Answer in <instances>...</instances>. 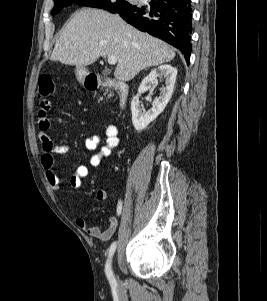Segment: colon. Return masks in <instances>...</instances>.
I'll return each mask as SVG.
<instances>
[{
	"mask_svg": "<svg viewBox=\"0 0 267 301\" xmlns=\"http://www.w3.org/2000/svg\"><path fill=\"white\" fill-rule=\"evenodd\" d=\"M55 91L53 80L46 75L40 76L38 80V96L42 99L49 98Z\"/></svg>",
	"mask_w": 267,
	"mask_h": 301,
	"instance_id": "5ec220e1",
	"label": "colon"
}]
</instances>
